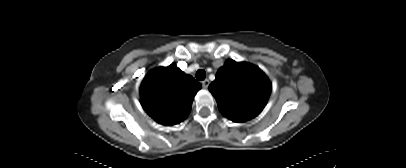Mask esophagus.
Returning a JSON list of instances; mask_svg holds the SVG:
<instances>
[{
    "mask_svg": "<svg viewBox=\"0 0 406 168\" xmlns=\"http://www.w3.org/2000/svg\"><path fill=\"white\" fill-rule=\"evenodd\" d=\"M209 83H210L209 80L205 79L204 81H202V86L206 89V88H208Z\"/></svg>",
    "mask_w": 406,
    "mask_h": 168,
    "instance_id": "esophagus-1",
    "label": "esophagus"
}]
</instances>
